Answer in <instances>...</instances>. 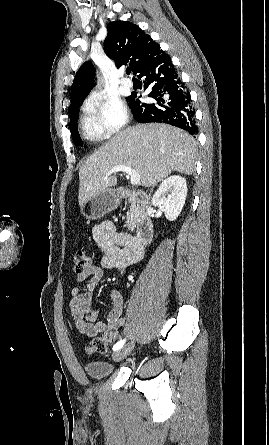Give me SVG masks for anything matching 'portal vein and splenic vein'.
<instances>
[{"instance_id": "18ae733b", "label": "portal vein and splenic vein", "mask_w": 269, "mask_h": 445, "mask_svg": "<svg viewBox=\"0 0 269 445\" xmlns=\"http://www.w3.org/2000/svg\"><path fill=\"white\" fill-rule=\"evenodd\" d=\"M125 172L126 174H128L130 176V182L132 185H137L140 182V174L139 172L133 170L130 166H125V165H118L113 167L110 171H108L106 173L107 176H110L113 173H117V172Z\"/></svg>"}]
</instances>
